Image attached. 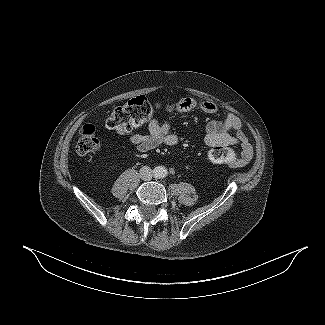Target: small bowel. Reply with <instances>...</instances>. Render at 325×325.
I'll return each mask as SVG.
<instances>
[{"label": "small bowel", "mask_w": 325, "mask_h": 325, "mask_svg": "<svg viewBox=\"0 0 325 325\" xmlns=\"http://www.w3.org/2000/svg\"><path fill=\"white\" fill-rule=\"evenodd\" d=\"M169 110L180 113L200 110L206 114H216L219 109L215 103L209 101L184 98L170 105ZM128 141L138 152L145 153L162 145L176 146L179 144V137L172 132L170 122L160 123L154 120L149 123L146 135L132 134L128 137ZM204 142L209 147L240 145L241 156L236 166L246 164L253 155L252 146L242 130L241 121L233 114H228L223 120L209 121L205 127Z\"/></svg>", "instance_id": "small-bowel-1"}]
</instances>
